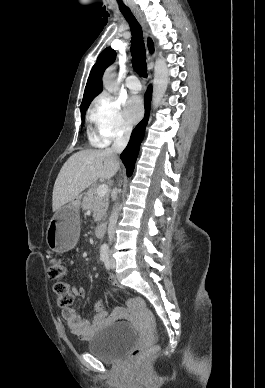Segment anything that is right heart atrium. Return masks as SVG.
I'll return each instance as SVG.
<instances>
[{"mask_svg":"<svg viewBox=\"0 0 265 388\" xmlns=\"http://www.w3.org/2000/svg\"><path fill=\"white\" fill-rule=\"evenodd\" d=\"M91 117L103 141L126 136L131 131L130 123L123 116L121 103L108 94H102L94 101Z\"/></svg>","mask_w":265,"mask_h":388,"instance_id":"obj_1","label":"right heart atrium"}]
</instances>
